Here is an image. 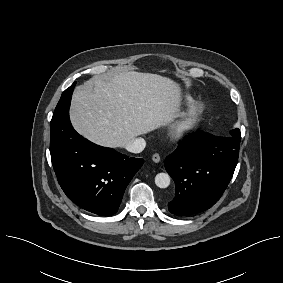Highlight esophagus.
I'll return each mask as SVG.
<instances>
[{
    "mask_svg": "<svg viewBox=\"0 0 283 283\" xmlns=\"http://www.w3.org/2000/svg\"><path fill=\"white\" fill-rule=\"evenodd\" d=\"M152 160H153V162H155V163L160 162V156H159V154H154V155L152 156Z\"/></svg>",
    "mask_w": 283,
    "mask_h": 283,
    "instance_id": "obj_1",
    "label": "esophagus"
}]
</instances>
